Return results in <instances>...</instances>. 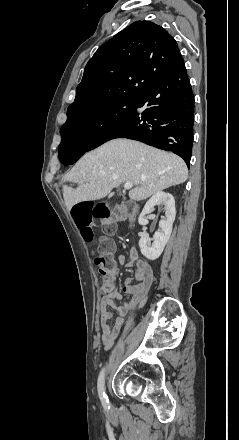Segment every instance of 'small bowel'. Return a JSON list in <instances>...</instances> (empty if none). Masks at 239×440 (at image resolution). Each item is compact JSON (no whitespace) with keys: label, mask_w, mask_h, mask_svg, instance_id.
<instances>
[{"label":"small bowel","mask_w":239,"mask_h":440,"mask_svg":"<svg viewBox=\"0 0 239 440\" xmlns=\"http://www.w3.org/2000/svg\"><path fill=\"white\" fill-rule=\"evenodd\" d=\"M114 230L111 232L113 233ZM119 264L125 268L134 267V277H127L124 280L123 290L128 294H133L134 299L129 304L131 309H136L141 307L147 297L150 285L152 282V270L150 265L139 257L136 249H131L130 251V261L126 262L123 255L118 257ZM141 281L137 285H133V280ZM122 299V295L118 291L115 285V278L103 285V296L101 299L100 307V324L102 332V343L105 349H109L115 339L117 338L123 324H124V314L127 312V307L125 305H116V301ZM108 307H113L117 310L118 316L115 318L113 325L109 324V321L113 318L112 312L108 310Z\"/></svg>","instance_id":"small-bowel-1"}]
</instances>
